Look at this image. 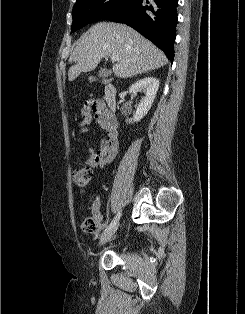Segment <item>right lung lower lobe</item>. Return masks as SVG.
Masks as SVG:
<instances>
[{
  "label": "right lung lower lobe",
  "mask_w": 245,
  "mask_h": 314,
  "mask_svg": "<svg viewBox=\"0 0 245 314\" xmlns=\"http://www.w3.org/2000/svg\"><path fill=\"white\" fill-rule=\"evenodd\" d=\"M178 0H130L104 19L131 26L173 62Z\"/></svg>",
  "instance_id": "right-lung-lower-lobe-1"
}]
</instances>
